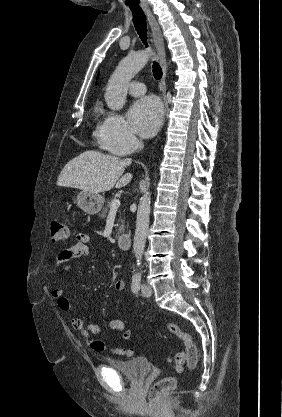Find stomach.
Instances as JSON below:
<instances>
[{"instance_id": "stomach-1", "label": "stomach", "mask_w": 282, "mask_h": 417, "mask_svg": "<svg viewBox=\"0 0 282 417\" xmlns=\"http://www.w3.org/2000/svg\"><path fill=\"white\" fill-rule=\"evenodd\" d=\"M76 202L80 209L87 213V215H97L100 213L102 206L105 202L104 196L101 194H95V192H88V190H81L77 194Z\"/></svg>"}]
</instances>
